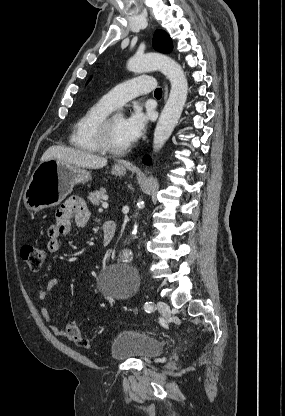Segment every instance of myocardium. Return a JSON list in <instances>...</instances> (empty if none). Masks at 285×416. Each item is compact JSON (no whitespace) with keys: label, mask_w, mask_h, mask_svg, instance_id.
I'll return each mask as SVG.
<instances>
[{"label":"myocardium","mask_w":285,"mask_h":416,"mask_svg":"<svg viewBox=\"0 0 285 416\" xmlns=\"http://www.w3.org/2000/svg\"><path fill=\"white\" fill-rule=\"evenodd\" d=\"M112 115L104 116L98 123L95 131L96 141L101 151L110 155H122L128 150V145L123 148H115L109 142V124Z\"/></svg>","instance_id":"1"}]
</instances>
